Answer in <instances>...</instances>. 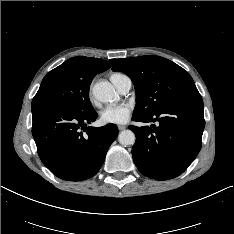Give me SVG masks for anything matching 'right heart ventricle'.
<instances>
[{
	"label": "right heart ventricle",
	"mask_w": 234,
	"mask_h": 234,
	"mask_svg": "<svg viewBox=\"0 0 234 234\" xmlns=\"http://www.w3.org/2000/svg\"><path fill=\"white\" fill-rule=\"evenodd\" d=\"M128 78L125 74L120 72H114L110 75V79L113 84L118 88L124 79Z\"/></svg>",
	"instance_id": "obj_1"
}]
</instances>
